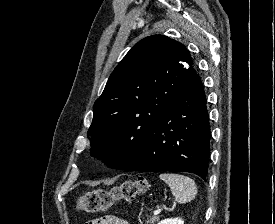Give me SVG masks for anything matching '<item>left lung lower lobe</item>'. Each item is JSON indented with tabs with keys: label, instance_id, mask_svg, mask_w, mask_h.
<instances>
[{
	"label": "left lung lower lobe",
	"instance_id": "left-lung-lower-lobe-1",
	"mask_svg": "<svg viewBox=\"0 0 275 224\" xmlns=\"http://www.w3.org/2000/svg\"><path fill=\"white\" fill-rule=\"evenodd\" d=\"M206 97L196 73L147 135L126 171L191 172L206 181L210 156Z\"/></svg>",
	"mask_w": 275,
	"mask_h": 224
}]
</instances>
